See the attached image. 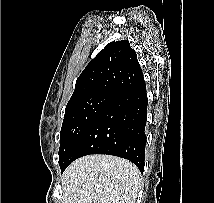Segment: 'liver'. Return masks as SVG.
<instances>
[{"label":"liver","mask_w":214,"mask_h":203,"mask_svg":"<svg viewBox=\"0 0 214 203\" xmlns=\"http://www.w3.org/2000/svg\"><path fill=\"white\" fill-rule=\"evenodd\" d=\"M138 168L111 155H89L71 163L62 176V203H136Z\"/></svg>","instance_id":"6515ba94"}]
</instances>
